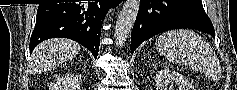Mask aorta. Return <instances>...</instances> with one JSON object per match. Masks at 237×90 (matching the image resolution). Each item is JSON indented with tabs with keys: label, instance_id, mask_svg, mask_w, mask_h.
<instances>
[{
	"label": "aorta",
	"instance_id": "1",
	"mask_svg": "<svg viewBox=\"0 0 237 90\" xmlns=\"http://www.w3.org/2000/svg\"><path fill=\"white\" fill-rule=\"evenodd\" d=\"M140 0H125L117 18L114 38L118 48H122L129 38L138 16Z\"/></svg>",
	"mask_w": 237,
	"mask_h": 90
}]
</instances>
